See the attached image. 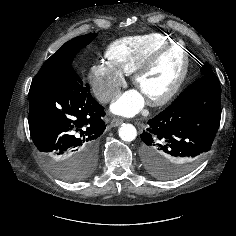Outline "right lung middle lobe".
Here are the masks:
<instances>
[{
  "instance_id": "right-lung-middle-lobe-1",
  "label": "right lung middle lobe",
  "mask_w": 236,
  "mask_h": 236,
  "mask_svg": "<svg viewBox=\"0 0 236 236\" xmlns=\"http://www.w3.org/2000/svg\"><path fill=\"white\" fill-rule=\"evenodd\" d=\"M95 33L76 37L55 52L47 59L35 77H52L67 72H74L71 62L76 53L94 39ZM51 170L60 178L67 181H79L87 178L94 170L96 160L86 158L80 162L72 163L65 160H48Z\"/></svg>"
}]
</instances>
